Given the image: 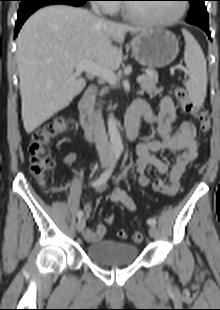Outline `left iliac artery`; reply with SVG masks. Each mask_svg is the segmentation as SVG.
Returning <instances> with one entry per match:
<instances>
[{"instance_id": "1", "label": "left iliac artery", "mask_w": 220, "mask_h": 310, "mask_svg": "<svg viewBox=\"0 0 220 310\" xmlns=\"http://www.w3.org/2000/svg\"><path fill=\"white\" fill-rule=\"evenodd\" d=\"M147 223H148L149 225H155V224H156V220H155L154 218H149V219L147 220Z\"/></svg>"}]
</instances>
